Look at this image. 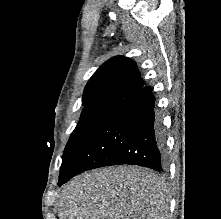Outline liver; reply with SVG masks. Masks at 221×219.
<instances>
[{
    "instance_id": "1",
    "label": "liver",
    "mask_w": 221,
    "mask_h": 219,
    "mask_svg": "<svg viewBox=\"0 0 221 219\" xmlns=\"http://www.w3.org/2000/svg\"><path fill=\"white\" fill-rule=\"evenodd\" d=\"M167 188L153 171L135 166L85 172L62 187L59 219H169Z\"/></svg>"
}]
</instances>
